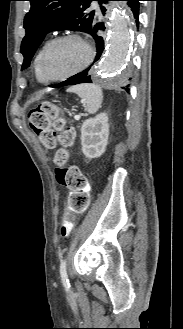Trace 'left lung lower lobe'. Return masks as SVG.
<instances>
[{
	"label": "left lung lower lobe",
	"mask_w": 183,
	"mask_h": 329,
	"mask_svg": "<svg viewBox=\"0 0 183 329\" xmlns=\"http://www.w3.org/2000/svg\"><path fill=\"white\" fill-rule=\"evenodd\" d=\"M109 1H127L128 5L131 7V10L134 14V18L136 19V24H139L138 21V15H139V1L141 0H106L105 3L109 2ZM101 12L103 15H105L106 7L105 6H100ZM101 29H105L104 24L102 22H100V19L95 16V21L94 24L91 28V30L89 31V34L93 37V39L95 40L96 43V57L94 62H96L97 60L100 59V57L102 56L103 52H104V48H105V41L104 38L99 34V30ZM90 70V67H88L86 70L71 76L70 78H68L66 81H63L61 83H59L58 85L54 86V87H62V86H66V85H75V84H80V83H91V78L90 75L88 74ZM122 89L126 90L127 92H129V85H127L126 87H122Z\"/></svg>",
	"instance_id": "0a47b994"
}]
</instances>
